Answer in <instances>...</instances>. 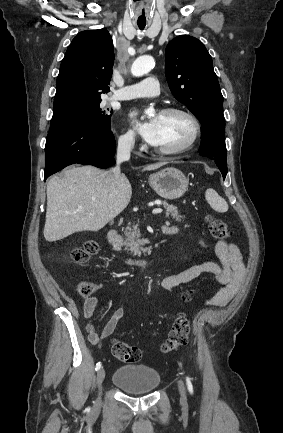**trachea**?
<instances>
[{
	"label": "trachea",
	"instance_id": "3493384b",
	"mask_svg": "<svg viewBox=\"0 0 283 433\" xmlns=\"http://www.w3.org/2000/svg\"><path fill=\"white\" fill-rule=\"evenodd\" d=\"M138 27H139L140 30H144L145 25H138Z\"/></svg>",
	"mask_w": 283,
	"mask_h": 433
}]
</instances>
